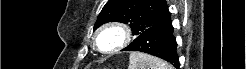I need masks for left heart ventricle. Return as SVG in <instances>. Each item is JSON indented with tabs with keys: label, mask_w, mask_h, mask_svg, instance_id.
I'll return each mask as SVG.
<instances>
[{
	"label": "left heart ventricle",
	"mask_w": 246,
	"mask_h": 69,
	"mask_svg": "<svg viewBox=\"0 0 246 69\" xmlns=\"http://www.w3.org/2000/svg\"><path fill=\"white\" fill-rule=\"evenodd\" d=\"M117 40H119V35L114 31H106L99 36L101 48H104L105 44L114 43Z\"/></svg>",
	"instance_id": "obj_1"
}]
</instances>
